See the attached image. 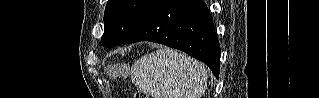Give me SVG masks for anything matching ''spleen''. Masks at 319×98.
I'll return each instance as SVG.
<instances>
[{
	"label": "spleen",
	"mask_w": 319,
	"mask_h": 98,
	"mask_svg": "<svg viewBox=\"0 0 319 98\" xmlns=\"http://www.w3.org/2000/svg\"><path fill=\"white\" fill-rule=\"evenodd\" d=\"M207 78L201 63L169 48L144 55L131 68L132 82L152 98H200Z\"/></svg>",
	"instance_id": "1"
}]
</instances>
